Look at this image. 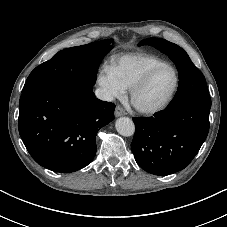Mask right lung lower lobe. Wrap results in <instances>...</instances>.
I'll list each match as a JSON object with an SVG mask.
<instances>
[{
	"label": "right lung lower lobe",
	"instance_id": "right-lung-lower-lobe-1",
	"mask_svg": "<svg viewBox=\"0 0 227 227\" xmlns=\"http://www.w3.org/2000/svg\"><path fill=\"white\" fill-rule=\"evenodd\" d=\"M114 109L95 97L91 85L41 86L20 97L19 134L39 165L74 172L92 161L97 132L114 119Z\"/></svg>",
	"mask_w": 227,
	"mask_h": 227
}]
</instances>
